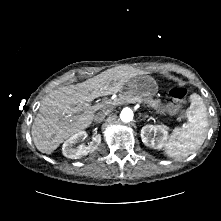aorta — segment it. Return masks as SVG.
<instances>
[{"label":"aorta","mask_w":221,"mask_h":221,"mask_svg":"<svg viewBox=\"0 0 221 221\" xmlns=\"http://www.w3.org/2000/svg\"><path fill=\"white\" fill-rule=\"evenodd\" d=\"M133 116H134V113L132 111V109L126 107V108H123L121 113H120V119L123 121V122H130L133 120Z\"/></svg>","instance_id":"aorta-1"}]
</instances>
